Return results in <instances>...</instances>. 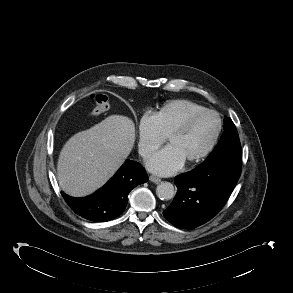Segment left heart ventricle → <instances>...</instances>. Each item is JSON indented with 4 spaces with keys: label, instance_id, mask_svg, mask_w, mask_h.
<instances>
[{
    "label": "left heart ventricle",
    "instance_id": "1",
    "mask_svg": "<svg viewBox=\"0 0 293 293\" xmlns=\"http://www.w3.org/2000/svg\"><path fill=\"white\" fill-rule=\"evenodd\" d=\"M216 129V117L205 114L195 120L184 134L168 140V145L174 147L183 160L187 162L199 155L210 144Z\"/></svg>",
    "mask_w": 293,
    "mask_h": 293
}]
</instances>
